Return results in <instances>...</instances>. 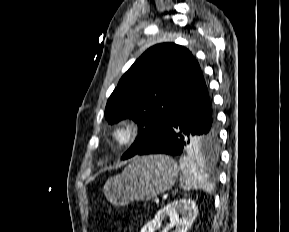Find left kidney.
I'll list each match as a JSON object with an SVG mask.
<instances>
[{"label": "left kidney", "instance_id": "5707ae66", "mask_svg": "<svg viewBox=\"0 0 289 232\" xmlns=\"http://www.w3.org/2000/svg\"><path fill=\"white\" fill-rule=\"evenodd\" d=\"M198 214L196 203L190 199H180L160 209L155 218L148 222L141 232H154L165 217H170L169 226L162 232L175 228L172 232H187Z\"/></svg>", "mask_w": 289, "mask_h": 232}]
</instances>
